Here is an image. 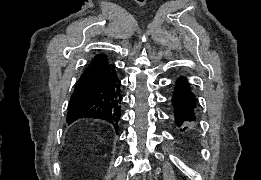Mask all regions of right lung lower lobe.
<instances>
[{"mask_svg": "<svg viewBox=\"0 0 261 180\" xmlns=\"http://www.w3.org/2000/svg\"><path fill=\"white\" fill-rule=\"evenodd\" d=\"M120 81L114 65L108 61L88 66L71 95L67 123L96 118L110 122L117 132L121 116Z\"/></svg>", "mask_w": 261, "mask_h": 180, "instance_id": "obj_1", "label": "right lung lower lobe"}]
</instances>
